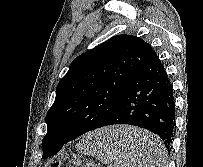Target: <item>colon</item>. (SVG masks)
I'll return each instance as SVG.
<instances>
[{
  "label": "colon",
  "instance_id": "colon-1",
  "mask_svg": "<svg viewBox=\"0 0 203 167\" xmlns=\"http://www.w3.org/2000/svg\"><path fill=\"white\" fill-rule=\"evenodd\" d=\"M72 162L77 163V162H79V159L75 155H73ZM51 167H61V165L59 163H54ZM87 167H92V166L87 165Z\"/></svg>",
  "mask_w": 203,
  "mask_h": 167
}]
</instances>
